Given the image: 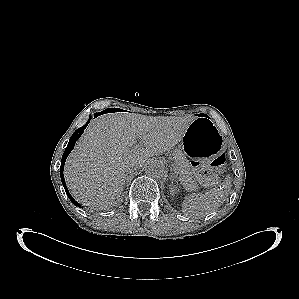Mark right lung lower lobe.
Returning <instances> with one entry per match:
<instances>
[{"label":"right lung lower lobe","mask_w":299,"mask_h":299,"mask_svg":"<svg viewBox=\"0 0 299 299\" xmlns=\"http://www.w3.org/2000/svg\"><path fill=\"white\" fill-rule=\"evenodd\" d=\"M91 120V117L89 118V120L87 121V123L78 128L74 133L73 135L71 136L70 140H69V143L64 151V154H63V157H62V162H61V166H60V177H61V181H62V184L64 186V189L68 195V197L71 199V202L75 205V206H79L80 207V204L77 203L73 197L70 195L68 189H67V186H66V183H65V180H64V175H63V169H64V164H65V161H66V158L67 156L69 155V153L73 150L74 148V145L76 143V141L80 138V136L83 134L84 132V129L87 127V125L89 124Z\"/></svg>","instance_id":"obj_1"}]
</instances>
